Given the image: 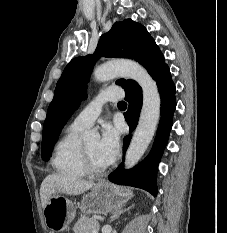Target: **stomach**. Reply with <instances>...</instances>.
<instances>
[{"label": "stomach", "mask_w": 227, "mask_h": 233, "mask_svg": "<svg viewBox=\"0 0 227 233\" xmlns=\"http://www.w3.org/2000/svg\"><path fill=\"white\" fill-rule=\"evenodd\" d=\"M131 197V190L103 182L96 184L83 196L80 209L84 214H106L120 209ZM43 212L46 226L50 230L63 231L74 219L76 205L56 194L49 200Z\"/></svg>", "instance_id": "1"}]
</instances>
